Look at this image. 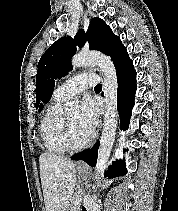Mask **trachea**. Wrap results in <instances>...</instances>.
I'll use <instances>...</instances> for the list:
<instances>
[{"label": "trachea", "instance_id": "trachea-1", "mask_svg": "<svg viewBox=\"0 0 178 211\" xmlns=\"http://www.w3.org/2000/svg\"><path fill=\"white\" fill-rule=\"evenodd\" d=\"M102 89V85L101 84H98L95 86V90H101Z\"/></svg>", "mask_w": 178, "mask_h": 211}]
</instances>
